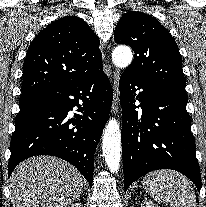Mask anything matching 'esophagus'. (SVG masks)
<instances>
[{
	"label": "esophagus",
	"instance_id": "esophagus-1",
	"mask_svg": "<svg viewBox=\"0 0 206 207\" xmlns=\"http://www.w3.org/2000/svg\"><path fill=\"white\" fill-rule=\"evenodd\" d=\"M118 80H119V71L114 70L113 72V89H114V97L112 103V113L117 114L119 109V87H118Z\"/></svg>",
	"mask_w": 206,
	"mask_h": 207
}]
</instances>
